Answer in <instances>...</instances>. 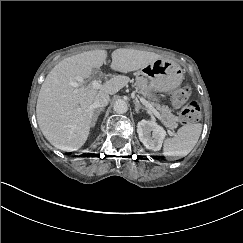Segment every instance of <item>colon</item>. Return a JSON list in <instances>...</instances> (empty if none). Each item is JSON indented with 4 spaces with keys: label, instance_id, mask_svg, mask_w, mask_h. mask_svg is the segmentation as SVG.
I'll list each match as a JSON object with an SVG mask.
<instances>
[{
    "label": "colon",
    "instance_id": "1",
    "mask_svg": "<svg viewBox=\"0 0 243 243\" xmlns=\"http://www.w3.org/2000/svg\"><path fill=\"white\" fill-rule=\"evenodd\" d=\"M190 97V88L183 86L178 88L171 98L172 108L180 110L181 122L188 124L194 123L200 120L201 109L197 102H188Z\"/></svg>",
    "mask_w": 243,
    "mask_h": 243
}]
</instances>
